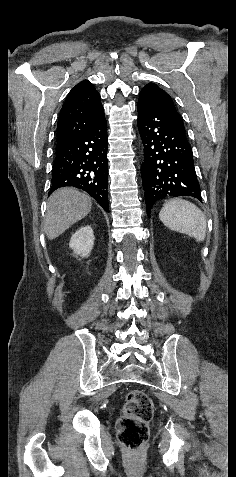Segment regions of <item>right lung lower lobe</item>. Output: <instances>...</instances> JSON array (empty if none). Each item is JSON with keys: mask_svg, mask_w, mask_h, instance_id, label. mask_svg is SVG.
<instances>
[{"mask_svg": "<svg viewBox=\"0 0 236 477\" xmlns=\"http://www.w3.org/2000/svg\"><path fill=\"white\" fill-rule=\"evenodd\" d=\"M66 186L88 192L105 211H109L105 118L65 147L57 149L49 193Z\"/></svg>", "mask_w": 236, "mask_h": 477, "instance_id": "obj_1", "label": "right lung lower lobe"}]
</instances>
